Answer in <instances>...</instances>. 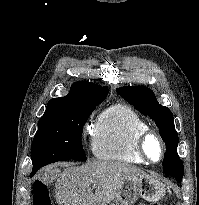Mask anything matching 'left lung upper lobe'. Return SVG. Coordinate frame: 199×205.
<instances>
[{"label": "left lung upper lobe", "instance_id": "left-lung-upper-lobe-1", "mask_svg": "<svg viewBox=\"0 0 199 205\" xmlns=\"http://www.w3.org/2000/svg\"><path fill=\"white\" fill-rule=\"evenodd\" d=\"M128 103L133 105L143 115L153 119L159 128V133L165 142L166 152L163 159V171L181 182L184 167L178 156V134L174 127L172 112L165 106L160 105L152 90L144 86H130L116 89Z\"/></svg>", "mask_w": 199, "mask_h": 205}]
</instances>
